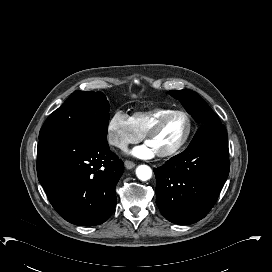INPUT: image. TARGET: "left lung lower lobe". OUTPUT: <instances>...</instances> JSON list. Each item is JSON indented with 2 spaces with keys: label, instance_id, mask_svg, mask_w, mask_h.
<instances>
[{
  "label": "left lung lower lobe",
  "instance_id": "0a47b994",
  "mask_svg": "<svg viewBox=\"0 0 272 272\" xmlns=\"http://www.w3.org/2000/svg\"><path fill=\"white\" fill-rule=\"evenodd\" d=\"M229 169L224 125L203 124L186 150L154 168L160 212L176 224L201 220L215 204Z\"/></svg>",
  "mask_w": 272,
  "mask_h": 272
}]
</instances>
